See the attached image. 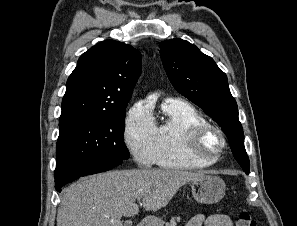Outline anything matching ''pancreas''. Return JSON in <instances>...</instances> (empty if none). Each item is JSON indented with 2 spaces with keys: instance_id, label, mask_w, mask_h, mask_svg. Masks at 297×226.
Here are the masks:
<instances>
[{
  "instance_id": "cf45deb5",
  "label": "pancreas",
  "mask_w": 297,
  "mask_h": 226,
  "mask_svg": "<svg viewBox=\"0 0 297 226\" xmlns=\"http://www.w3.org/2000/svg\"><path fill=\"white\" fill-rule=\"evenodd\" d=\"M181 218L180 217H172L169 222L166 223L165 226H177V222H180Z\"/></svg>"
}]
</instances>
